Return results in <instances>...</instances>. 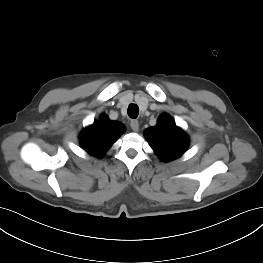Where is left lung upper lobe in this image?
Listing matches in <instances>:
<instances>
[{
	"mask_svg": "<svg viewBox=\"0 0 263 263\" xmlns=\"http://www.w3.org/2000/svg\"><path fill=\"white\" fill-rule=\"evenodd\" d=\"M144 135L154 152L166 162L182 155L189 144L187 135L168 114L160 116L157 124L147 128Z\"/></svg>",
	"mask_w": 263,
	"mask_h": 263,
	"instance_id": "obj_1",
	"label": "left lung upper lobe"
}]
</instances>
